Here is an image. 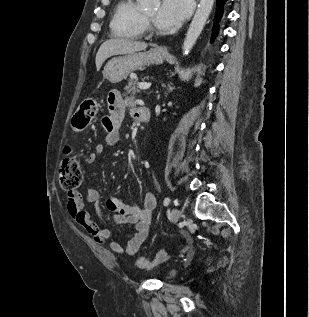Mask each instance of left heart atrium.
Instances as JSON below:
<instances>
[{"mask_svg":"<svg viewBox=\"0 0 309 317\" xmlns=\"http://www.w3.org/2000/svg\"><path fill=\"white\" fill-rule=\"evenodd\" d=\"M189 10L188 0H162L155 23L162 30H174L185 20Z\"/></svg>","mask_w":309,"mask_h":317,"instance_id":"1","label":"left heart atrium"}]
</instances>
